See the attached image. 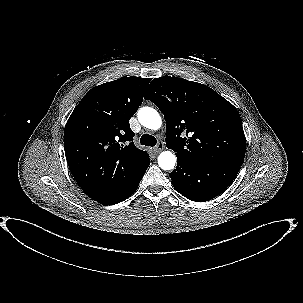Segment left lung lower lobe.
Listing matches in <instances>:
<instances>
[{"mask_svg": "<svg viewBox=\"0 0 303 303\" xmlns=\"http://www.w3.org/2000/svg\"><path fill=\"white\" fill-rule=\"evenodd\" d=\"M169 174L174 188L192 201L205 202L221 194L234 180L240 166L225 162H192L177 157Z\"/></svg>", "mask_w": 303, "mask_h": 303, "instance_id": "left-lung-lower-lobe-1", "label": "left lung lower lobe"}]
</instances>
